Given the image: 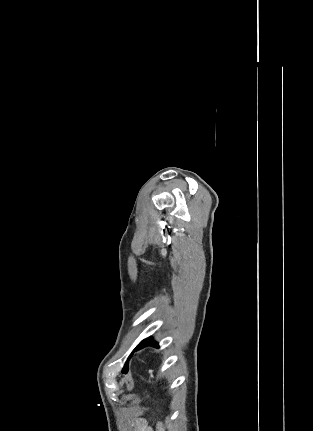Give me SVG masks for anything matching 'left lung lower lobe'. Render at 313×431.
<instances>
[{"instance_id": "obj_1", "label": "left lung lower lobe", "mask_w": 313, "mask_h": 431, "mask_svg": "<svg viewBox=\"0 0 313 431\" xmlns=\"http://www.w3.org/2000/svg\"><path fill=\"white\" fill-rule=\"evenodd\" d=\"M147 345L158 346V344L156 342H154L153 338L150 337V338H146V339L142 340L140 342V344L135 348V350L143 348V347H145ZM123 373H126V371L123 372Z\"/></svg>"}]
</instances>
